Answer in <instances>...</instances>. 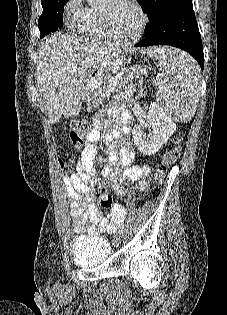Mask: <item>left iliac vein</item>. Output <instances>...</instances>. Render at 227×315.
<instances>
[{
	"instance_id": "1",
	"label": "left iliac vein",
	"mask_w": 227,
	"mask_h": 315,
	"mask_svg": "<svg viewBox=\"0 0 227 315\" xmlns=\"http://www.w3.org/2000/svg\"><path fill=\"white\" fill-rule=\"evenodd\" d=\"M115 243L116 244H119L120 243V241H121V236L120 235H117L116 237H115Z\"/></svg>"
}]
</instances>
